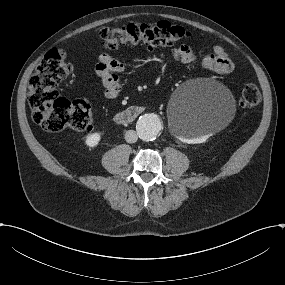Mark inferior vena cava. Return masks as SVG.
I'll return each instance as SVG.
<instances>
[{"mask_svg": "<svg viewBox=\"0 0 285 285\" xmlns=\"http://www.w3.org/2000/svg\"><path fill=\"white\" fill-rule=\"evenodd\" d=\"M138 139V135L136 133V131L134 130H128L126 133H125V140L126 142L128 143H135Z\"/></svg>", "mask_w": 285, "mask_h": 285, "instance_id": "1", "label": "inferior vena cava"}]
</instances>
